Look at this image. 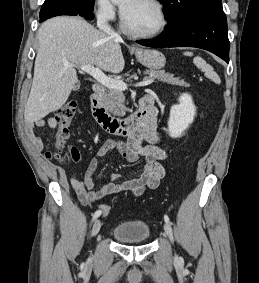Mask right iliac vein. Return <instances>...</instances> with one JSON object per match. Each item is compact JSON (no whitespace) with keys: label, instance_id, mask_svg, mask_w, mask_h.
Returning <instances> with one entry per match:
<instances>
[{"label":"right iliac vein","instance_id":"obj_1","mask_svg":"<svg viewBox=\"0 0 259 283\" xmlns=\"http://www.w3.org/2000/svg\"><path fill=\"white\" fill-rule=\"evenodd\" d=\"M101 225H102L101 220L97 219L92 228V236H96L98 234V232L100 231Z\"/></svg>","mask_w":259,"mask_h":283}]
</instances>
